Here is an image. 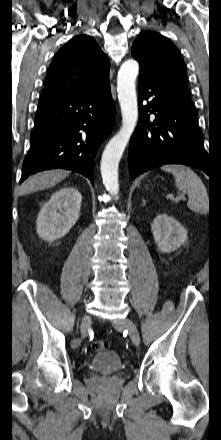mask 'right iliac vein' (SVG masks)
I'll return each instance as SVG.
<instances>
[{
  "instance_id": "right-iliac-vein-1",
  "label": "right iliac vein",
  "mask_w": 221,
  "mask_h": 440,
  "mask_svg": "<svg viewBox=\"0 0 221 440\" xmlns=\"http://www.w3.org/2000/svg\"><path fill=\"white\" fill-rule=\"evenodd\" d=\"M89 323H90V316L85 315L81 322V332L83 335L86 333Z\"/></svg>"
}]
</instances>
